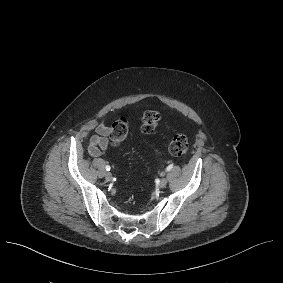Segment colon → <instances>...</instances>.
I'll return each instance as SVG.
<instances>
[{"label": "colon", "instance_id": "5ec220e1", "mask_svg": "<svg viewBox=\"0 0 283 283\" xmlns=\"http://www.w3.org/2000/svg\"><path fill=\"white\" fill-rule=\"evenodd\" d=\"M160 121V115L157 111L149 110L146 111L141 119V131L143 133H152L158 126ZM129 133V123L128 121L121 117L117 119L111 127L110 130V142L112 145L117 146L121 144L127 137ZM189 145L187 138L184 135L177 134L174 135L169 144V152L176 156L181 157L185 155L188 151Z\"/></svg>", "mask_w": 283, "mask_h": 283}]
</instances>
